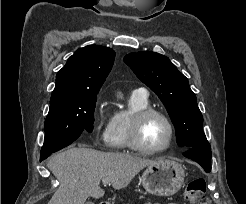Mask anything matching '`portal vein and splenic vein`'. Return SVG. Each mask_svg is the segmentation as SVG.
Listing matches in <instances>:
<instances>
[{
	"label": "portal vein and splenic vein",
	"instance_id": "obj_1",
	"mask_svg": "<svg viewBox=\"0 0 246 204\" xmlns=\"http://www.w3.org/2000/svg\"><path fill=\"white\" fill-rule=\"evenodd\" d=\"M102 182L104 185L110 184V179H103Z\"/></svg>",
	"mask_w": 246,
	"mask_h": 204
}]
</instances>
